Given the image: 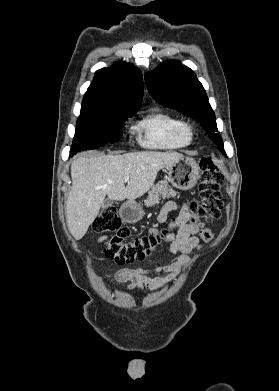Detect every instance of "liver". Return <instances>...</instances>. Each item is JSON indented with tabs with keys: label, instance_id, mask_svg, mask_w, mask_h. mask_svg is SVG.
Returning <instances> with one entry per match:
<instances>
[{
	"label": "liver",
	"instance_id": "6515ba94",
	"mask_svg": "<svg viewBox=\"0 0 279 391\" xmlns=\"http://www.w3.org/2000/svg\"><path fill=\"white\" fill-rule=\"evenodd\" d=\"M183 157L178 152H132L123 155L91 154L71 165L72 188L66 203V221L79 240L97 217L108 196L110 200L133 201L152 186L158 172ZM129 177L127 186L125 178Z\"/></svg>",
	"mask_w": 279,
	"mask_h": 391
}]
</instances>
